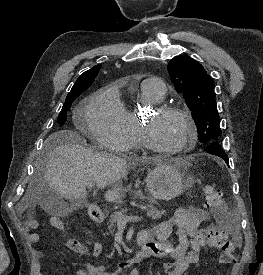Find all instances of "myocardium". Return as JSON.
Listing matches in <instances>:
<instances>
[{"label":"myocardium","mask_w":263,"mask_h":275,"mask_svg":"<svg viewBox=\"0 0 263 275\" xmlns=\"http://www.w3.org/2000/svg\"><path fill=\"white\" fill-rule=\"evenodd\" d=\"M152 110L154 114H158V115L174 114L182 117L188 125V135L184 140V142L179 147L175 149H164L157 146L153 142V140L151 139L148 133L146 122L144 120L140 121L139 122L140 136L144 146L148 150L163 156H174V155L183 153L195 146L198 138V128L194 117L188 110L179 106L167 105V104L155 105L153 106Z\"/></svg>","instance_id":"1"}]
</instances>
